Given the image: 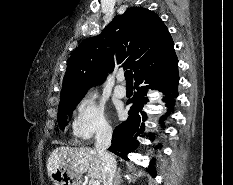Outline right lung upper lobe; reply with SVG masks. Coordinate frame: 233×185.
Masks as SVG:
<instances>
[{
	"label": "right lung upper lobe",
	"mask_w": 233,
	"mask_h": 185,
	"mask_svg": "<svg viewBox=\"0 0 233 185\" xmlns=\"http://www.w3.org/2000/svg\"><path fill=\"white\" fill-rule=\"evenodd\" d=\"M175 58L174 42L161 18L146 8H130L75 49L64 76L60 104L81 100L93 81L102 83L120 64L133 69L135 78Z\"/></svg>",
	"instance_id": "right-lung-upper-lobe-1"
}]
</instances>
